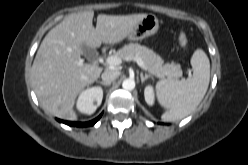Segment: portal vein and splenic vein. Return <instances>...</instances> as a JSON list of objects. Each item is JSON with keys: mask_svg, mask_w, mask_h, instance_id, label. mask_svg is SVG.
Wrapping results in <instances>:
<instances>
[{"mask_svg": "<svg viewBox=\"0 0 248 165\" xmlns=\"http://www.w3.org/2000/svg\"><path fill=\"white\" fill-rule=\"evenodd\" d=\"M131 59L134 60L140 68L147 71V68H146L144 62L140 57L135 56V57H132V58L127 59V60H131ZM106 63L108 65L117 66V65H120L122 63V59L116 55H113V56H109L106 58Z\"/></svg>", "mask_w": 248, "mask_h": 165, "instance_id": "1", "label": "portal vein and splenic vein"}]
</instances>
